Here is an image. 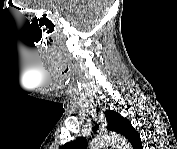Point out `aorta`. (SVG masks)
<instances>
[{"label":"aorta","mask_w":177,"mask_h":149,"mask_svg":"<svg viewBox=\"0 0 177 149\" xmlns=\"http://www.w3.org/2000/svg\"><path fill=\"white\" fill-rule=\"evenodd\" d=\"M112 143H121L122 145H124V147H127V143L125 139L115 134H104V135L97 136L93 140L91 147L92 149H101L105 147L106 145H109Z\"/></svg>","instance_id":"aorta-1"}]
</instances>
